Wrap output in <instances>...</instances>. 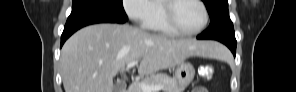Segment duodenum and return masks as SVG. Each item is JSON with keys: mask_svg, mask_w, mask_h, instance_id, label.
<instances>
[{"mask_svg": "<svg viewBox=\"0 0 296 92\" xmlns=\"http://www.w3.org/2000/svg\"><path fill=\"white\" fill-rule=\"evenodd\" d=\"M122 92H133V90H132V88H131V87H129V88L125 89V90H124V91H122Z\"/></svg>", "mask_w": 296, "mask_h": 92, "instance_id": "duodenum-1", "label": "duodenum"}]
</instances>
